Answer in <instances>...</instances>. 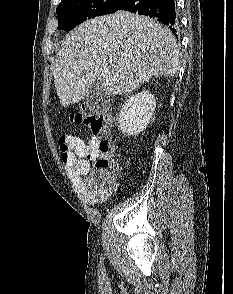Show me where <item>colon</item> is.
Wrapping results in <instances>:
<instances>
[{
	"label": "colon",
	"mask_w": 233,
	"mask_h": 294,
	"mask_svg": "<svg viewBox=\"0 0 233 294\" xmlns=\"http://www.w3.org/2000/svg\"><path fill=\"white\" fill-rule=\"evenodd\" d=\"M70 120L73 123L84 125L91 132L95 141L92 158L94 159V167L89 182L96 187H107L119 171L113 158V146L104 136L108 125L107 118L79 110L70 115ZM58 144L61 158L65 159L69 148L63 136L59 138Z\"/></svg>",
	"instance_id": "colon-1"
}]
</instances>
